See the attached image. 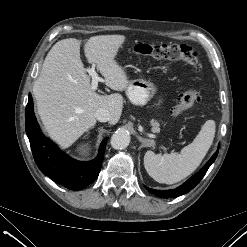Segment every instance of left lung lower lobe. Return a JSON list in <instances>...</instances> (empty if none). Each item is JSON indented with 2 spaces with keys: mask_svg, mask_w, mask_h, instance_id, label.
Wrapping results in <instances>:
<instances>
[{
  "mask_svg": "<svg viewBox=\"0 0 247 247\" xmlns=\"http://www.w3.org/2000/svg\"><path fill=\"white\" fill-rule=\"evenodd\" d=\"M219 149V146H218ZM218 155V150L214 153V155L211 157V159L207 162V164L195 175H193L189 180H187L184 184L181 186L177 187L176 189L173 190H154L151 188H146L150 193H153L160 198H176L178 196H181L190 190H192L204 177L206 174L207 170L209 169L210 165L215 161L216 157Z\"/></svg>",
  "mask_w": 247,
  "mask_h": 247,
  "instance_id": "1",
  "label": "left lung lower lobe"
}]
</instances>
